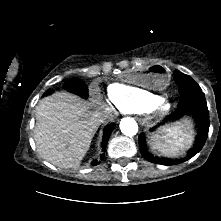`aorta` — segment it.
Listing matches in <instances>:
<instances>
[{
    "instance_id": "obj_1",
    "label": "aorta",
    "mask_w": 221,
    "mask_h": 221,
    "mask_svg": "<svg viewBox=\"0 0 221 221\" xmlns=\"http://www.w3.org/2000/svg\"><path fill=\"white\" fill-rule=\"evenodd\" d=\"M120 130L126 136H134L138 132V125L133 118L126 117L120 121Z\"/></svg>"
}]
</instances>
